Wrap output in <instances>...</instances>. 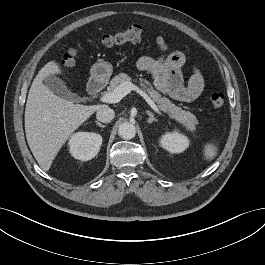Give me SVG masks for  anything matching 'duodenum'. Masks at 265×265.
Masks as SVG:
<instances>
[{
    "mask_svg": "<svg viewBox=\"0 0 265 265\" xmlns=\"http://www.w3.org/2000/svg\"><path fill=\"white\" fill-rule=\"evenodd\" d=\"M103 87V83L98 80V79H93L89 84H88V92L90 95H96L98 94Z\"/></svg>",
    "mask_w": 265,
    "mask_h": 265,
    "instance_id": "obj_1",
    "label": "duodenum"
}]
</instances>
